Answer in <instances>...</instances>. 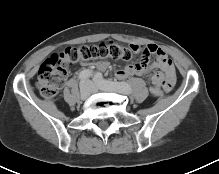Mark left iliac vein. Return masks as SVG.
<instances>
[{
    "mask_svg": "<svg viewBox=\"0 0 219 174\" xmlns=\"http://www.w3.org/2000/svg\"><path fill=\"white\" fill-rule=\"evenodd\" d=\"M88 84L91 86L92 93L97 92L98 90L102 91H113L112 89L106 88V87H100L98 85H93L91 82H88Z\"/></svg>",
    "mask_w": 219,
    "mask_h": 174,
    "instance_id": "left-iliac-vein-1",
    "label": "left iliac vein"
}]
</instances>
